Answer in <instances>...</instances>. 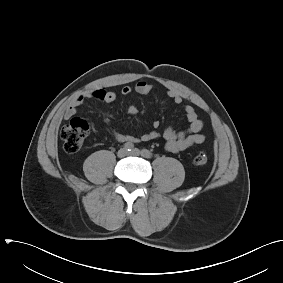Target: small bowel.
<instances>
[{
	"label": "small bowel",
	"instance_id": "c3829d8e",
	"mask_svg": "<svg viewBox=\"0 0 283 283\" xmlns=\"http://www.w3.org/2000/svg\"><path fill=\"white\" fill-rule=\"evenodd\" d=\"M154 86L144 80L138 81L134 87L124 86L121 89V94L126 96L131 93H136L139 95H146L153 91ZM168 97L175 104H182L183 97L174 90H169L167 92ZM96 99L105 103H112L116 99V94L110 90L106 89H96L84 93L77 98H75L66 108L64 112V118L70 119L77 112L78 107H80L85 100ZM186 119L189 122V127L186 131H176L173 127L168 126L164 129L162 133L158 131L160 126L159 121L153 122V129L140 136H132L128 134H123L112 130L113 137L118 142H146L155 140L158 138H163L165 140V149L171 153H180L193 146L203 143L206 139V135L201 133L204 122L199 118L195 108L192 105H184L183 107ZM129 114H136L138 109L135 105H130L127 108ZM108 122V119H107Z\"/></svg>",
	"mask_w": 283,
	"mask_h": 283
}]
</instances>
